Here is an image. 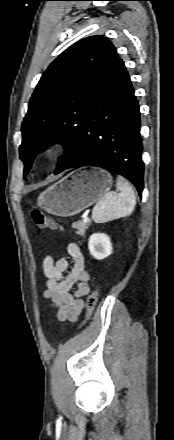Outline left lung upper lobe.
Returning <instances> with one entry per match:
<instances>
[{"instance_id":"5c2ea615","label":"left lung upper lobe","mask_w":174,"mask_h":440,"mask_svg":"<svg viewBox=\"0 0 174 440\" xmlns=\"http://www.w3.org/2000/svg\"><path fill=\"white\" fill-rule=\"evenodd\" d=\"M119 60L113 44L95 35L76 42L49 65L32 94L21 127L19 153L24 175L35 155L54 143L66 148L55 174L78 154L86 117Z\"/></svg>"}]
</instances>
